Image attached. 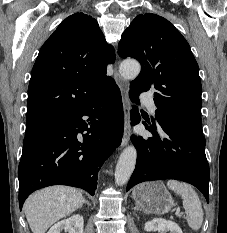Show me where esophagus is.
<instances>
[{
    "label": "esophagus",
    "instance_id": "1",
    "mask_svg": "<svg viewBox=\"0 0 227 233\" xmlns=\"http://www.w3.org/2000/svg\"><path fill=\"white\" fill-rule=\"evenodd\" d=\"M115 81L120 88L123 100V111H124V134L121 142V147L128 144L131 136V125H130V110L131 102L129 99V83L124 80L119 73L116 71L114 74Z\"/></svg>",
    "mask_w": 227,
    "mask_h": 233
}]
</instances>
